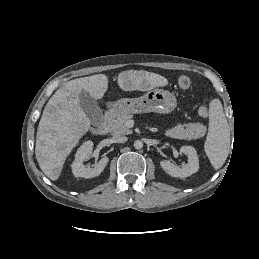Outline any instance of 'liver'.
Returning a JSON list of instances; mask_svg holds the SVG:
<instances>
[{"label":"liver","instance_id":"obj_1","mask_svg":"<svg viewBox=\"0 0 259 259\" xmlns=\"http://www.w3.org/2000/svg\"><path fill=\"white\" fill-rule=\"evenodd\" d=\"M117 81L123 91H149L168 84L165 77L144 70L120 72ZM107 89L108 77L96 74L68 81L49 99L37 128L35 146L38 164L49 179L60 177L67 156L90 128V120L80 105L81 91L97 100Z\"/></svg>","mask_w":259,"mask_h":259}]
</instances>
